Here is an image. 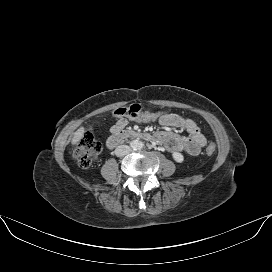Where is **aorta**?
Returning a JSON list of instances; mask_svg holds the SVG:
<instances>
[{"mask_svg":"<svg viewBox=\"0 0 272 272\" xmlns=\"http://www.w3.org/2000/svg\"><path fill=\"white\" fill-rule=\"evenodd\" d=\"M142 142L139 140H133L130 142V148L133 150H139L140 148H142Z\"/></svg>","mask_w":272,"mask_h":272,"instance_id":"obj_1","label":"aorta"}]
</instances>
